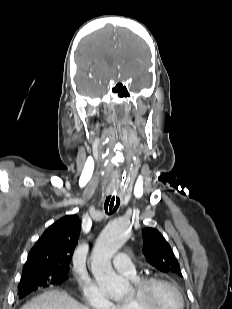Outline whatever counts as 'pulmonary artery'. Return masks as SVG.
<instances>
[{
    "mask_svg": "<svg viewBox=\"0 0 232 309\" xmlns=\"http://www.w3.org/2000/svg\"><path fill=\"white\" fill-rule=\"evenodd\" d=\"M113 265L117 271L130 278L137 276L135 265L126 252L118 253L113 260Z\"/></svg>",
    "mask_w": 232,
    "mask_h": 309,
    "instance_id": "obj_1",
    "label": "pulmonary artery"
}]
</instances>
